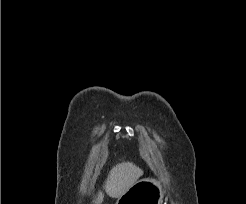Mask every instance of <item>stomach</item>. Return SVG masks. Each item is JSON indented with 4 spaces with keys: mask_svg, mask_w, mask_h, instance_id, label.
Returning <instances> with one entry per match:
<instances>
[{
    "mask_svg": "<svg viewBox=\"0 0 246 204\" xmlns=\"http://www.w3.org/2000/svg\"><path fill=\"white\" fill-rule=\"evenodd\" d=\"M164 191L155 179L146 178L134 183L116 204H162Z\"/></svg>",
    "mask_w": 246,
    "mask_h": 204,
    "instance_id": "stomach-1",
    "label": "stomach"
}]
</instances>
